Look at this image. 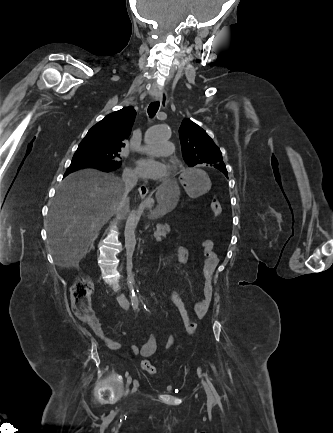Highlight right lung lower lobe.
I'll return each instance as SVG.
<instances>
[{
  "instance_id": "1",
  "label": "right lung lower lobe",
  "mask_w": 333,
  "mask_h": 433,
  "mask_svg": "<svg viewBox=\"0 0 333 433\" xmlns=\"http://www.w3.org/2000/svg\"><path fill=\"white\" fill-rule=\"evenodd\" d=\"M86 167H96V168L102 169L106 172L114 171L116 169L112 166L100 164L98 162H91V161H77V162H75V161H72L69 168L67 169L64 177L66 175H68L69 173L77 170V169L86 168Z\"/></svg>"
}]
</instances>
